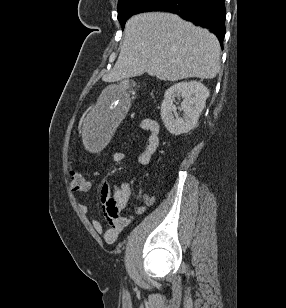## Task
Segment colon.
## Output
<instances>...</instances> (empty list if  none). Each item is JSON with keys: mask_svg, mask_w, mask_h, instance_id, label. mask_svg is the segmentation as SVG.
Masks as SVG:
<instances>
[{"mask_svg": "<svg viewBox=\"0 0 286 308\" xmlns=\"http://www.w3.org/2000/svg\"><path fill=\"white\" fill-rule=\"evenodd\" d=\"M70 188L74 192H82L89 188V182L84 175L79 172L70 174Z\"/></svg>", "mask_w": 286, "mask_h": 308, "instance_id": "obj_1", "label": "colon"}]
</instances>
